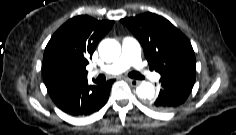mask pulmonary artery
<instances>
[{
    "label": "pulmonary artery",
    "mask_w": 236,
    "mask_h": 135,
    "mask_svg": "<svg viewBox=\"0 0 236 135\" xmlns=\"http://www.w3.org/2000/svg\"><path fill=\"white\" fill-rule=\"evenodd\" d=\"M131 66H134L136 71L142 75L149 74L147 68L141 61L140 46L138 41L133 37H125L123 39L122 55L114 63L109 66H106L104 68V71L110 74H119ZM152 77L155 80H159L160 74L154 73L152 74Z\"/></svg>",
    "instance_id": "pulmonary-artery-1"
}]
</instances>
